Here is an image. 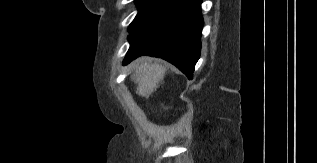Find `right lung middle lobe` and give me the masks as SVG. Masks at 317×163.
Listing matches in <instances>:
<instances>
[{
	"label": "right lung middle lobe",
	"instance_id": "right-lung-middle-lobe-1",
	"mask_svg": "<svg viewBox=\"0 0 317 163\" xmlns=\"http://www.w3.org/2000/svg\"><path fill=\"white\" fill-rule=\"evenodd\" d=\"M175 3L171 0H138L139 12L129 26V37L149 27Z\"/></svg>",
	"mask_w": 317,
	"mask_h": 163
}]
</instances>
